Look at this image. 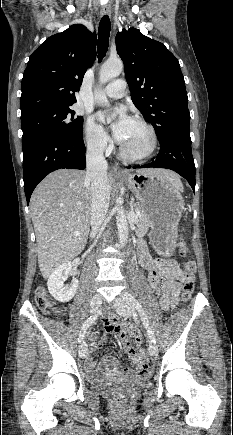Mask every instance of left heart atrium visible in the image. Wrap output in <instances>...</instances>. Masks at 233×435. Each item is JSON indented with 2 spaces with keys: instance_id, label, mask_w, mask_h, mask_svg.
<instances>
[{
  "instance_id": "left-heart-atrium-1",
  "label": "left heart atrium",
  "mask_w": 233,
  "mask_h": 435,
  "mask_svg": "<svg viewBox=\"0 0 233 435\" xmlns=\"http://www.w3.org/2000/svg\"><path fill=\"white\" fill-rule=\"evenodd\" d=\"M117 114H118L117 120L111 126V129H112L114 139L121 144L125 137L126 131L130 123L132 122V119L123 108H119L117 110ZM107 117H108V112H104V111L99 112L96 115V118L103 123L106 121Z\"/></svg>"
}]
</instances>
